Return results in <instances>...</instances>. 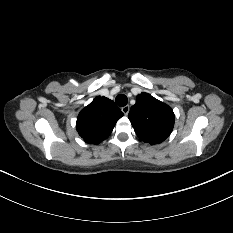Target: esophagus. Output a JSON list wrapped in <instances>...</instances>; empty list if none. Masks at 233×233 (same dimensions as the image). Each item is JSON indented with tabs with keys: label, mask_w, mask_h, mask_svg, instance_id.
<instances>
[{
	"label": "esophagus",
	"mask_w": 233,
	"mask_h": 233,
	"mask_svg": "<svg viewBox=\"0 0 233 233\" xmlns=\"http://www.w3.org/2000/svg\"><path fill=\"white\" fill-rule=\"evenodd\" d=\"M121 111L124 113V115H128V113L130 111V106L126 105V106L122 107Z\"/></svg>",
	"instance_id": "34e87169"
}]
</instances>
